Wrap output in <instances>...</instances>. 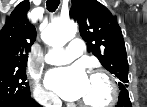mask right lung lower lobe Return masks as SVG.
<instances>
[{"mask_svg":"<svg viewBox=\"0 0 147 107\" xmlns=\"http://www.w3.org/2000/svg\"><path fill=\"white\" fill-rule=\"evenodd\" d=\"M7 107H40V105L31 97L17 100L10 103Z\"/></svg>","mask_w":147,"mask_h":107,"instance_id":"98d812e1","label":"right lung lower lobe"}]
</instances>
